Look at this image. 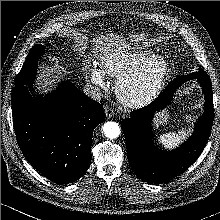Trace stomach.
Listing matches in <instances>:
<instances>
[{"instance_id": "stomach-1", "label": "stomach", "mask_w": 220, "mask_h": 220, "mask_svg": "<svg viewBox=\"0 0 220 220\" xmlns=\"http://www.w3.org/2000/svg\"><path fill=\"white\" fill-rule=\"evenodd\" d=\"M169 115L168 114H164L160 119H159V123L160 124H166L168 121Z\"/></svg>"}]
</instances>
